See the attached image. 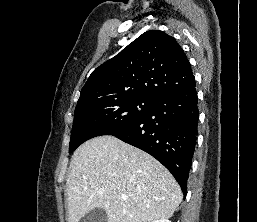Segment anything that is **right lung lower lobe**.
<instances>
[{
	"mask_svg": "<svg viewBox=\"0 0 257 222\" xmlns=\"http://www.w3.org/2000/svg\"><path fill=\"white\" fill-rule=\"evenodd\" d=\"M195 84L157 100L155 108L130 127L112 134L156 158L175 177L184 195L197 140Z\"/></svg>",
	"mask_w": 257,
	"mask_h": 222,
	"instance_id": "right-lung-lower-lobe-1",
	"label": "right lung lower lobe"
}]
</instances>
